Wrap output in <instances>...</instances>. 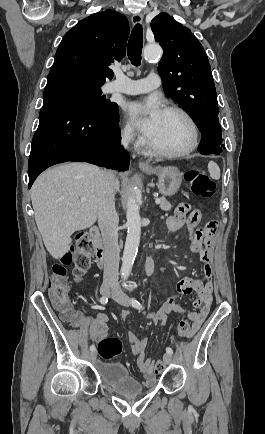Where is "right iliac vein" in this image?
Here are the masks:
<instances>
[{
	"label": "right iliac vein",
	"mask_w": 265,
	"mask_h": 434,
	"mask_svg": "<svg viewBox=\"0 0 265 434\" xmlns=\"http://www.w3.org/2000/svg\"><path fill=\"white\" fill-rule=\"evenodd\" d=\"M112 291H113V290H112L109 286H102L101 289H100V293H101L103 296H105V297H109V295H110V293H111ZM96 356H97V351H96V350L91 351V352L89 353V359H90L91 361L95 360V359H96Z\"/></svg>",
	"instance_id": "1"
}]
</instances>
